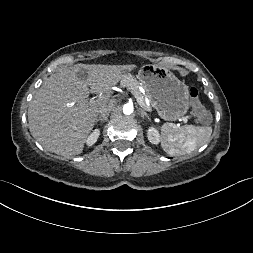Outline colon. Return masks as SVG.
<instances>
[{
	"instance_id": "obj_1",
	"label": "colon",
	"mask_w": 253,
	"mask_h": 253,
	"mask_svg": "<svg viewBox=\"0 0 253 253\" xmlns=\"http://www.w3.org/2000/svg\"><path fill=\"white\" fill-rule=\"evenodd\" d=\"M189 97L192 106V112L196 121L200 123H208L211 120V114L209 110L202 104L198 89L192 87L189 90Z\"/></svg>"
}]
</instances>
